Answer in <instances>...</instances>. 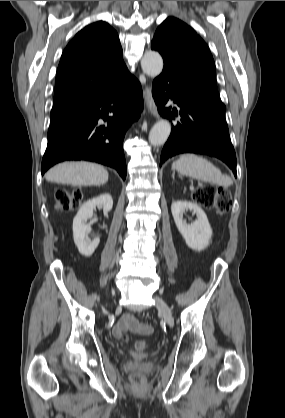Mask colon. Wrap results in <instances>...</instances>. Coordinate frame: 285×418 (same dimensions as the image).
<instances>
[{
    "mask_svg": "<svg viewBox=\"0 0 285 418\" xmlns=\"http://www.w3.org/2000/svg\"><path fill=\"white\" fill-rule=\"evenodd\" d=\"M57 209L63 212L76 210L82 198L80 191L57 190L56 191ZM193 198L208 209H216L219 212H227L231 206L230 192L216 185H206L194 191ZM120 339L124 342L128 340V335L123 333ZM135 348L139 352H143L148 348V344L144 341L137 342ZM133 384L142 388L145 386V380L141 375L132 376Z\"/></svg>",
    "mask_w": 285,
    "mask_h": 418,
    "instance_id": "1",
    "label": "colon"
}]
</instances>
